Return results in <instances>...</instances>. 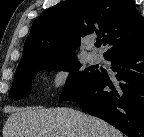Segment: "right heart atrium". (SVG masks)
<instances>
[{
    "label": "right heart atrium",
    "mask_w": 144,
    "mask_h": 137,
    "mask_svg": "<svg viewBox=\"0 0 144 137\" xmlns=\"http://www.w3.org/2000/svg\"><path fill=\"white\" fill-rule=\"evenodd\" d=\"M69 77L68 70L64 67L56 69L49 78L48 88L52 91H58L65 87Z\"/></svg>",
    "instance_id": "1"
}]
</instances>
